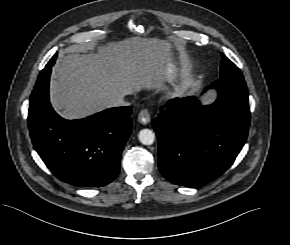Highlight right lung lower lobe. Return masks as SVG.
I'll list each match as a JSON object with an SVG mask.
<instances>
[{
    "instance_id": "98d812e1",
    "label": "right lung lower lobe",
    "mask_w": 290,
    "mask_h": 245,
    "mask_svg": "<svg viewBox=\"0 0 290 245\" xmlns=\"http://www.w3.org/2000/svg\"><path fill=\"white\" fill-rule=\"evenodd\" d=\"M51 63L55 60L40 72L30 96L28 126L34 148L61 181L80 187L107 185L119 173L132 132V109L110 108L81 120L61 118L49 101Z\"/></svg>"
}]
</instances>
